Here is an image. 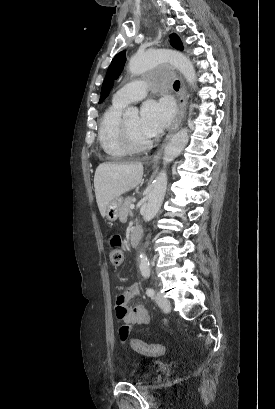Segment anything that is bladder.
Masks as SVG:
<instances>
[{"label": "bladder", "mask_w": 275, "mask_h": 409, "mask_svg": "<svg viewBox=\"0 0 275 409\" xmlns=\"http://www.w3.org/2000/svg\"><path fill=\"white\" fill-rule=\"evenodd\" d=\"M152 377H153L152 373L137 374V375L131 376L130 382L138 383V382L149 380Z\"/></svg>", "instance_id": "bladder-1"}]
</instances>
